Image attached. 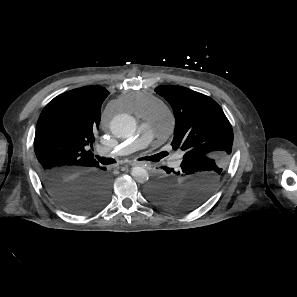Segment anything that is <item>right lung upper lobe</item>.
I'll return each instance as SVG.
<instances>
[{"label":"right lung upper lobe","mask_w":297,"mask_h":297,"mask_svg":"<svg viewBox=\"0 0 297 297\" xmlns=\"http://www.w3.org/2000/svg\"><path fill=\"white\" fill-rule=\"evenodd\" d=\"M108 94L103 87L85 86L59 95L45 106L34 139L41 171L74 175L99 167L85 146L95 140L101 105Z\"/></svg>","instance_id":"right-lung-upper-lobe-1"}]
</instances>
